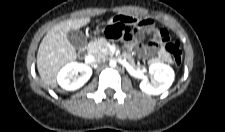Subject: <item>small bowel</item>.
Wrapping results in <instances>:
<instances>
[{
  "mask_svg": "<svg viewBox=\"0 0 225 132\" xmlns=\"http://www.w3.org/2000/svg\"><path fill=\"white\" fill-rule=\"evenodd\" d=\"M115 24L121 27H130L135 30L134 36L137 42L135 44L128 43L126 45L127 57L131 63L135 64L133 58L134 53L148 56L150 58V64L171 61V57L165 49L164 43L160 44L161 41H163V37L160 35V32L155 29L151 20H139L129 16H121ZM143 30H147L151 33L152 41L148 45L139 43V40L143 37Z\"/></svg>",
  "mask_w": 225,
  "mask_h": 132,
  "instance_id": "obj_1",
  "label": "small bowel"
}]
</instances>
